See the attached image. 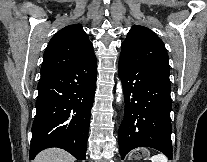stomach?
Listing matches in <instances>:
<instances>
[{
	"label": "stomach",
	"mask_w": 207,
	"mask_h": 162,
	"mask_svg": "<svg viewBox=\"0 0 207 162\" xmlns=\"http://www.w3.org/2000/svg\"><path fill=\"white\" fill-rule=\"evenodd\" d=\"M148 155V152L146 150H142L141 153L140 152H135V158L136 159H140L142 156H146Z\"/></svg>",
	"instance_id": "obj_1"
}]
</instances>
